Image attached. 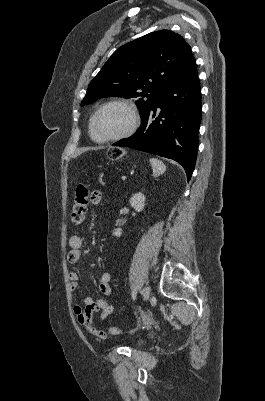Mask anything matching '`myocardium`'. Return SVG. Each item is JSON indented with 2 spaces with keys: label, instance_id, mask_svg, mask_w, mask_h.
<instances>
[{
  "label": "myocardium",
  "instance_id": "obj_1",
  "mask_svg": "<svg viewBox=\"0 0 265 401\" xmlns=\"http://www.w3.org/2000/svg\"><path fill=\"white\" fill-rule=\"evenodd\" d=\"M110 106H122V107L126 108L127 111L129 112V122H128L127 126L119 134L109 137V138H105V139H98L94 136L93 125L95 123V120L99 116V114L104 109H106L107 107H110ZM138 121H139V114H138L137 108L131 101L122 100V99L111 100V101H108V102L102 104L90 118L89 135H90L91 139L97 143H106V142L117 141V140L129 135L131 132H133L138 125Z\"/></svg>",
  "mask_w": 265,
  "mask_h": 401
}]
</instances>
